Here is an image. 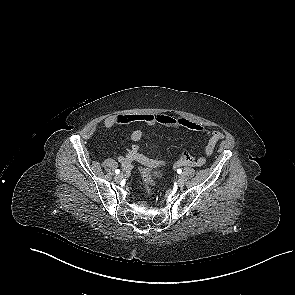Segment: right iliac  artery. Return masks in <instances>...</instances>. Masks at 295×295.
<instances>
[{
  "label": "right iliac artery",
  "instance_id": "right-iliac-artery-1",
  "mask_svg": "<svg viewBox=\"0 0 295 295\" xmlns=\"http://www.w3.org/2000/svg\"><path fill=\"white\" fill-rule=\"evenodd\" d=\"M115 173H116V174H120V170H119V169H116V170H115Z\"/></svg>",
  "mask_w": 295,
  "mask_h": 295
}]
</instances>
